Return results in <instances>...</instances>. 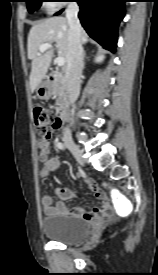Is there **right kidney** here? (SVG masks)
I'll return each instance as SVG.
<instances>
[{
  "mask_svg": "<svg viewBox=\"0 0 158 275\" xmlns=\"http://www.w3.org/2000/svg\"><path fill=\"white\" fill-rule=\"evenodd\" d=\"M104 60V56H99L97 59H96V62L100 63Z\"/></svg>",
  "mask_w": 158,
  "mask_h": 275,
  "instance_id": "ca27d5eb",
  "label": "right kidney"
}]
</instances>
